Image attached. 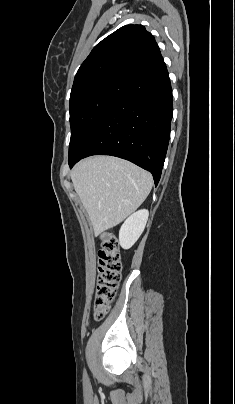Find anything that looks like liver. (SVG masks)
<instances>
[{
    "mask_svg": "<svg viewBox=\"0 0 235 404\" xmlns=\"http://www.w3.org/2000/svg\"><path fill=\"white\" fill-rule=\"evenodd\" d=\"M71 179L95 235L120 224L144 202L153 186L149 172L112 156L80 161Z\"/></svg>",
    "mask_w": 235,
    "mask_h": 404,
    "instance_id": "obj_1",
    "label": "liver"
}]
</instances>
